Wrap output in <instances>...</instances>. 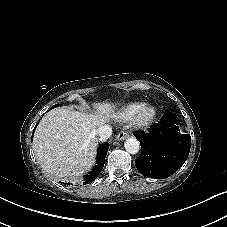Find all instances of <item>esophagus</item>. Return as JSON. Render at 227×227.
Returning a JSON list of instances; mask_svg holds the SVG:
<instances>
[{
	"label": "esophagus",
	"instance_id": "obj_1",
	"mask_svg": "<svg viewBox=\"0 0 227 227\" xmlns=\"http://www.w3.org/2000/svg\"><path fill=\"white\" fill-rule=\"evenodd\" d=\"M128 136V133L126 131H121L117 137H116V140H124L126 139Z\"/></svg>",
	"mask_w": 227,
	"mask_h": 227
}]
</instances>
